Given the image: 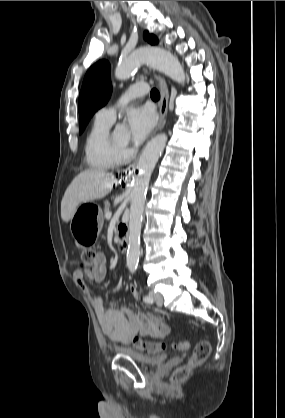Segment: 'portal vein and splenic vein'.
I'll return each instance as SVG.
<instances>
[{"label":"portal vein and splenic vein","instance_id":"18ae733b","mask_svg":"<svg viewBox=\"0 0 285 418\" xmlns=\"http://www.w3.org/2000/svg\"><path fill=\"white\" fill-rule=\"evenodd\" d=\"M111 216H112V213H111V212H107V213H106V215H105V217H106L107 219H110V218H111Z\"/></svg>","mask_w":285,"mask_h":418}]
</instances>
